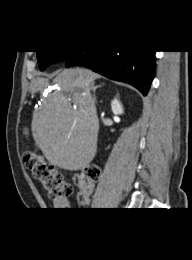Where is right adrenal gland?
I'll return each mask as SVG.
<instances>
[{
  "instance_id": "right-adrenal-gland-1",
  "label": "right adrenal gland",
  "mask_w": 192,
  "mask_h": 260,
  "mask_svg": "<svg viewBox=\"0 0 192 260\" xmlns=\"http://www.w3.org/2000/svg\"><path fill=\"white\" fill-rule=\"evenodd\" d=\"M102 85H104V83L103 84H101V85H97V86H95L94 85V83H92V90H93V97H94V101L97 103V100H96V95H95V92H96V89H98V88H100V87H102Z\"/></svg>"
}]
</instances>
